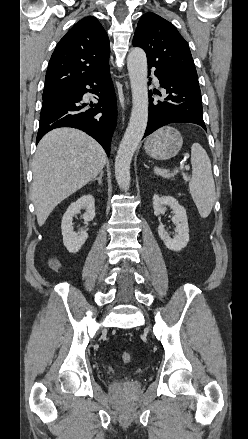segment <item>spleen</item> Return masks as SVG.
Returning <instances> with one entry per match:
<instances>
[{
  "label": "spleen",
  "instance_id": "obj_1",
  "mask_svg": "<svg viewBox=\"0 0 248 439\" xmlns=\"http://www.w3.org/2000/svg\"><path fill=\"white\" fill-rule=\"evenodd\" d=\"M191 165L190 194L200 216L206 218L215 202V183L210 159L205 149L198 143H194L191 147ZM155 172L165 178L171 176L167 170L155 168Z\"/></svg>",
  "mask_w": 248,
  "mask_h": 439
}]
</instances>
